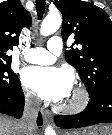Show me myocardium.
<instances>
[{"instance_id":"f54148a6","label":"myocardium","mask_w":112,"mask_h":135,"mask_svg":"<svg viewBox=\"0 0 112 135\" xmlns=\"http://www.w3.org/2000/svg\"><path fill=\"white\" fill-rule=\"evenodd\" d=\"M73 91L77 96V101L70 105H66L62 103L59 104L57 108L60 112H63L65 114H79L83 112L89 105L90 96L85 88L81 86H77L74 88Z\"/></svg>"}]
</instances>
